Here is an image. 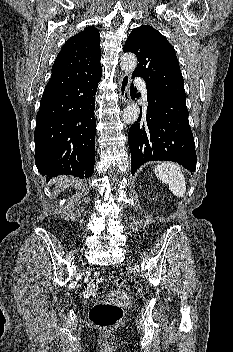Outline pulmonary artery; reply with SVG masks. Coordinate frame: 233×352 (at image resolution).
<instances>
[{
	"label": "pulmonary artery",
	"mask_w": 233,
	"mask_h": 352,
	"mask_svg": "<svg viewBox=\"0 0 233 352\" xmlns=\"http://www.w3.org/2000/svg\"><path fill=\"white\" fill-rule=\"evenodd\" d=\"M136 81L141 85L142 93H143L144 96H146L147 95V91H146L145 83L140 78H137Z\"/></svg>",
	"instance_id": "1"
}]
</instances>
